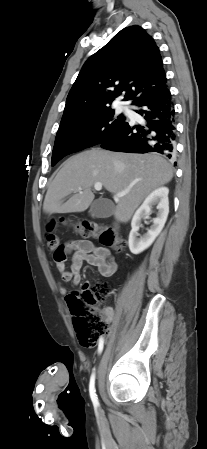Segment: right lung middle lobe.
Masks as SVG:
<instances>
[{"label":"right lung middle lobe","mask_w":207,"mask_h":449,"mask_svg":"<svg viewBox=\"0 0 207 449\" xmlns=\"http://www.w3.org/2000/svg\"><path fill=\"white\" fill-rule=\"evenodd\" d=\"M125 122L114 110L105 108L61 120L52 153L54 166L66 155L103 143Z\"/></svg>","instance_id":"1"}]
</instances>
